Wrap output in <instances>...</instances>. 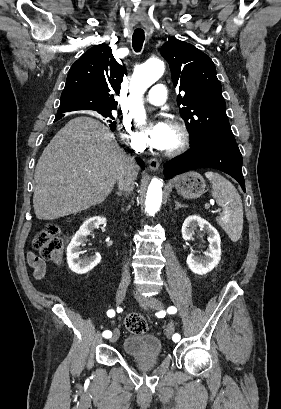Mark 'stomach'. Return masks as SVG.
I'll list each match as a JSON object with an SVG mask.
<instances>
[{"label": "stomach", "instance_id": "1", "mask_svg": "<svg viewBox=\"0 0 281 409\" xmlns=\"http://www.w3.org/2000/svg\"><path fill=\"white\" fill-rule=\"evenodd\" d=\"M175 186L177 192L185 196V198H198V196L206 192V182L203 176L199 172H194V170L178 176Z\"/></svg>", "mask_w": 281, "mask_h": 409}]
</instances>
